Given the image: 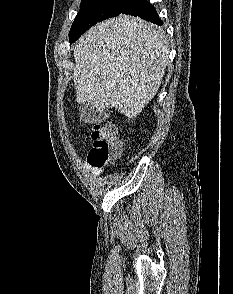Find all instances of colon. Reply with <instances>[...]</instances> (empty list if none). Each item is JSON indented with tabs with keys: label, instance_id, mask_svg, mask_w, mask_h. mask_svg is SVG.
Returning a JSON list of instances; mask_svg holds the SVG:
<instances>
[{
	"label": "colon",
	"instance_id": "colon-1",
	"mask_svg": "<svg viewBox=\"0 0 233 294\" xmlns=\"http://www.w3.org/2000/svg\"><path fill=\"white\" fill-rule=\"evenodd\" d=\"M92 148L88 163L94 168H102L120 154L121 143L117 138V128L113 124H96L91 132Z\"/></svg>",
	"mask_w": 233,
	"mask_h": 294
}]
</instances>
